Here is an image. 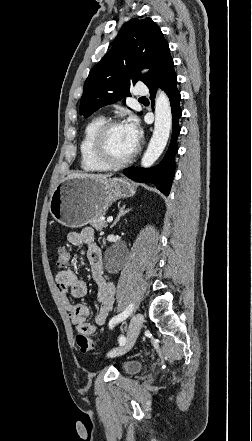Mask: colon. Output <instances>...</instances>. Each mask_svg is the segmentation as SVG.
Wrapping results in <instances>:
<instances>
[{
	"mask_svg": "<svg viewBox=\"0 0 252 441\" xmlns=\"http://www.w3.org/2000/svg\"><path fill=\"white\" fill-rule=\"evenodd\" d=\"M70 259L71 256L68 248L66 246H59L57 249V265L64 267L70 262ZM76 342L82 352H88L92 347L89 338L80 331L76 334Z\"/></svg>",
	"mask_w": 252,
	"mask_h": 441,
	"instance_id": "5ec220e1",
	"label": "colon"
}]
</instances>
